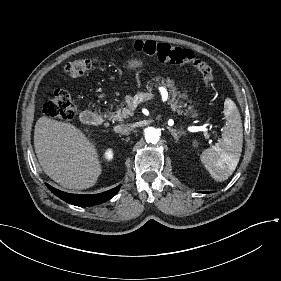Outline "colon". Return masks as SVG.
Returning a JSON list of instances; mask_svg holds the SVG:
<instances>
[{"label":"colon","instance_id":"5ec220e1","mask_svg":"<svg viewBox=\"0 0 281 281\" xmlns=\"http://www.w3.org/2000/svg\"><path fill=\"white\" fill-rule=\"evenodd\" d=\"M123 48L138 54L151 56L160 62L190 64L201 73L206 82L213 80L211 68L205 62L195 58L192 52L187 49L172 47L167 43L142 40L124 44ZM96 61V57H80L74 59L66 64L65 72L71 78L83 77L92 70ZM43 111L48 118L71 121L76 115V105L68 92L59 91L55 92L52 98L45 101Z\"/></svg>","mask_w":281,"mask_h":281}]
</instances>
